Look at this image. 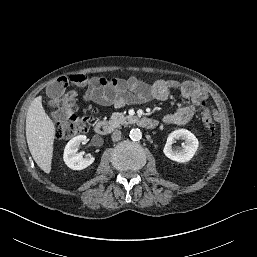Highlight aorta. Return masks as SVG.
<instances>
[{
	"label": "aorta",
	"mask_w": 257,
	"mask_h": 257,
	"mask_svg": "<svg viewBox=\"0 0 257 257\" xmlns=\"http://www.w3.org/2000/svg\"><path fill=\"white\" fill-rule=\"evenodd\" d=\"M129 137L133 140V141H139L142 138V132L140 129L138 128H134L130 131L129 133Z\"/></svg>",
	"instance_id": "762f6f07"
}]
</instances>
